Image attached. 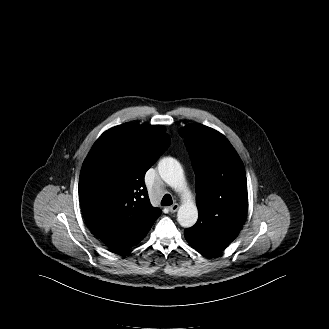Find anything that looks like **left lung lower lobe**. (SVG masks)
I'll return each instance as SVG.
<instances>
[{
	"label": "left lung lower lobe",
	"instance_id": "1",
	"mask_svg": "<svg viewBox=\"0 0 329 329\" xmlns=\"http://www.w3.org/2000/svg\"><path fill=\"white\" fill-rule=\"evenodd\" d=\"M240 230L227 229L218 235L216 239L205 241L193 238V236L186 229L184 232L186 240L198 251L202 252L205 256H213L230 244L233 239L238 235Z\"/></svg>",
	"mask_w": 329,
	"mask_h": 329
}]
</instances>
